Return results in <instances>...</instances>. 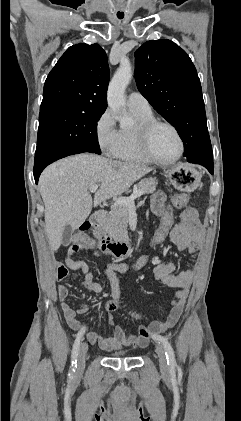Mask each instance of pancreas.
<instances>
[{
	"mask_svg": "<svg viewBox=\"0 0 241 421\" xmlns=\"http://www.w3.org/2000/svg\"><path fill=\"white\" fill-rule=\"evenodd\" d=\"M157 186L155 178L141 180L133 188L135 191H143L145 194L154 193ZM129 208L123 206H112L102 224L103 231L113 239H123L128 236Z\"/></svg>",
	"mask_w": 241,
	"mask_h": 421,
	"instance_id": "cf45deb5",
	"label": "pancreas"
}]
</instances>
